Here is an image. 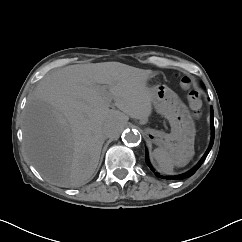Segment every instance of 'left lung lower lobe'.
<instances>
[{
    "instance_id": "1",
    "label": "left lung lower lobe",
    "mask_w": 242,
    "mask_h": 242,
    "mask_svg": "<svg viewBox=\"0 0 242 242\" xmlns=\"http://www.w3.org/2000/svg\"><path fill=\"white\" fill-rule=\"evenodd\" d=\"M213 108H211V129H212V133H211V142H210V145L207 149V151L205 152L204 156L202 157V159L198 162V164L193 168L191 169L190 171L186 172V173H183L181 175H176V176H168L167 178L168 179H173V180H181V179H184V178H187V177H190L192 176L196 170L201 166V164L204 162V160L206 159L208 153L210 152L211 148H212V145H213V142H214V134H215V131H214V122H213ZM145 160H146V163L147 165L150 167V169L154 172V169L151 167L150 165V162H149V159H148V154H147V150H146V157H145ZM157 177L159 178H165V176H162L160 175L159 173H155Z\"/></svg>"
}]
</instances>
